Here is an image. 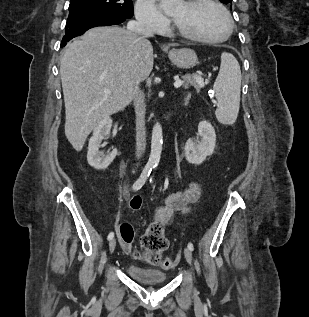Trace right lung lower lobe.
I'll return each instance as SVG.
<instances>
[{
  "instance_id": "1",
  "label": "right lung lower lobe",
  "mask_w": 309,
  "mask_h": 317,
  "mask_svg": "<svg viewBox=\"0 0 309 317\" xmlns=\"http://www.w3.org/2000/svg\"><path fill=\"white\" fill-rule=\"evenodd\" d=\"M126 18L119 17L113 14L101 12H73L69 13L66 23L65 36L61 42V47L72 38L82 35L85 31L96 26H107L120 24Z\"/></svg>"
}]
</instances>
